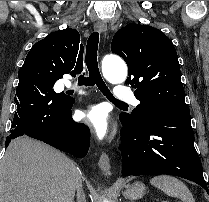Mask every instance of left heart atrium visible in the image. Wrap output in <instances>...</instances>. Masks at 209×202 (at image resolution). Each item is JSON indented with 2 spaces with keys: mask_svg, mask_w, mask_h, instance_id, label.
Segmentation results:
<instances>
[{
  "mask_svg": "<svg viewBox=\"0 0 209 202\" xmlns=\"http://www.w3.org/2000/svg\"><path fill=\"white\" fill-rule=\"evenodd\" d=\"M78 119L86 124L98 138H102L107 135V117L101 106H91L87 109L79 111Z\"/></svg>",
  "mask_w": 209,
  "mask_h": 202,
  "instance_id": "1",
  "label": "left heart atrium"
}]
</instances>
